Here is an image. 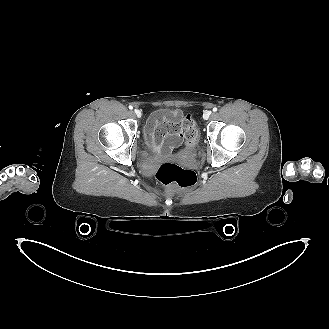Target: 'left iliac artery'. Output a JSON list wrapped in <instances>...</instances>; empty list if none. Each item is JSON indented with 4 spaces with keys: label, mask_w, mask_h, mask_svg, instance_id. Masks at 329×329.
<instances>
[{
    "label": "left iliac artery",
    "mask_w": 329,
    "mask_h": 329,
    "mask_svg": "<svg viewBox=\"0 0 329 329\" xmlns=\"http://www.w3.org/2000/svg\"><path fill=\"white\" fill-rule=\"evenodd\" d=\"M213 111H214V112H216V111H217V108H216V107H214V108H213Z\"/></svg>",
    "instance_id": "1"
}]
</instances>
